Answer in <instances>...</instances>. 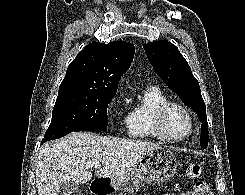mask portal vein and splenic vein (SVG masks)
I'll list each match as a JSON object with an SVG mask.
<instances>
[{
    "instance_id": "1",
    "label": "portal vein and splenic vein",
    "mask_w": 245,
    "mask_h": 195,
    "mask_svg": "<svg viewBox=\"0 0 245 195\" xmlns=\"http://www.w3.org/2000/svg\"><path fill=\"white\" fill-rule=\"evenodd\" d=\"M94 167L99 169V168H101V165L100 164H97Z\"/></svg>"
}]
</instances>
